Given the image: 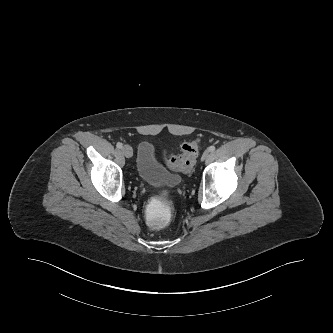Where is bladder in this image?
I'll return each mask as SVG.
<instances>
[{"label": "bladder", "mask_w": 333, "mask_h": 333, "mask_svg": "<svg viewBox=\"0 0 333 333\" xmlns=\"http://www.w3.org/2000/svg\"><path fill=\"white\" fill-rule=\"evenodd\" d=\"M137 174L145 182L176 186L180 177L167 170L155 156L154 145L149 141L140 143L137 151Z\"/></svg>", "instance_id": "obj_1"}]
</instances>
